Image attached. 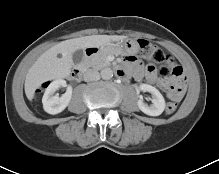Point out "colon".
I'll return each mask as SVG.
<instances>
[{
    "mask_svg": "<svg viewBox=\"0 0 219 174\" xmlns=\"http://www.w3.org/2000/svg\"><path fill=\"white\" fill-rule=\"evenodd\" d=\"M140 47V57L151 64H159V74L162 77L168 75L174 76L175 78H181L183 76V71L179 68L171 70L168 66L163 64L166 60L164 52L158 48L153 43L140 39L138 41ZM177 109V105L174 102H169L166 105L165 112L167 114H173Z\"/></svg>",
    "mask_w": 219,
    "mask_h": 174,
    "instance_id": "obj_1",
    "label": "colon"
}]
</instances>
